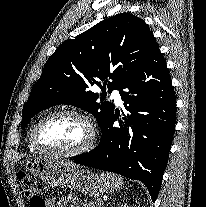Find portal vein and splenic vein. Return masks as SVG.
<instances>
[{"label": "portal vein and splenic vein", "mask_w": 206, "mask_h": 207, "mask_svg": "<svg viewBox=\"0 0 206 207\" xmlns=\"http://www.w3.org/2000/svg\"><path fill=\"white\" fill-rule=\"evenodd\" d=\"M102 203H101V201H100V203H98V205H101Z\"/></svg>", "instance_id": "portal-vein-and-splenic-vein-1"}]
</instances>
